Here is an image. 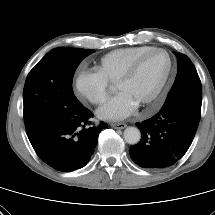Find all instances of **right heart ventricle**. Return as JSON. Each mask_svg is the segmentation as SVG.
Listing matches in <instances>:
<instances>
[{
    "label": "right heart ventricle",
    "mask_w": 215,
    "mask_h": 215,
    "mask_svg": "<svg viewBox=\"0 0 215 215\" xmlns=\"http://www.w3.org/2000/svg\"><path fill=\"white\" fill-rule=\"evenodd\" d=\"M152 48L150 46H136L115 49L99 59L96 70L109 83H116L133 60Z\"/></svg>",
    "instance_id": "e07e8e85"
}]
</instances>
